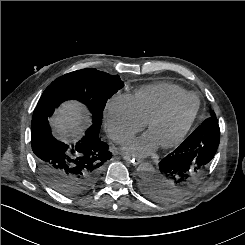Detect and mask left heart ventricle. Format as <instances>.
Returning a JSON list of instances; mask_svg holds the SVG:
<instances>
[{
	"label": "left heart ventricle",
	"mask_w": 245,
	"mask_h": 245,
	"mask_svg": "<svg viewBox=\"0 0 245 245\" xmlns=\"http://www.w3.org/2000/svg\"><path fill=\"white\" fill-rule=\"evenodd\" d=\"M196 108V100L189 99L178 106L168 117L152 126L149 133L158 144L174 139L192 117Z\"/></svg>",
	"instance_id": "obj_1"
}]
</instances>
